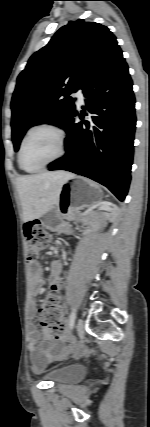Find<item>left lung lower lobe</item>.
Wrapping results in <instances>:
<instances>
[{"instance_id":"1","label":"left lung lower lobe","mask_w":150,"mask_h":427,"mask_svg":"<svg viewBox=\"0 0 150 427\" xmlns=\"http://www.w3.org/2000/svg\"><path fill=\"white\" fill-rule=\"evenodd\" d=\"M86 109H75L64 125L66 154L49 170H67L106 186L123 201L134 153L135 97L128 66L117 47L83 86Z\"/></svg>"}]
</instances>
